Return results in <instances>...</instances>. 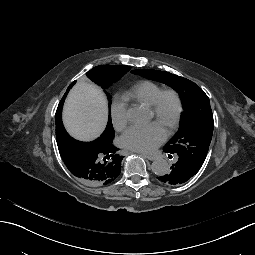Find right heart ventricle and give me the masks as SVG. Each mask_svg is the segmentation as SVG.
<instances>
[{
	"instance_id": "obj_1",
	"label": "right heart ventricle",
	"mask_w": 255,
	"mask_h": 255,
	"mask_svg": "<svg viewBox=\"0 0 255 255\" xmlns=\"http://www.w3.org/2000/svg\"><path fill=\"white\" fill-rule=\"evenodd\" d=\"M162 89V87L149 80L142 81L135 85L130 91L126 92L123 96L124 102H139L150 106L155 96Z\"/></svg>"
}]
</instances>
